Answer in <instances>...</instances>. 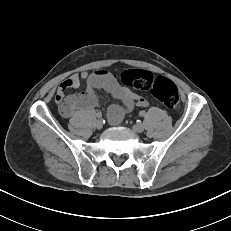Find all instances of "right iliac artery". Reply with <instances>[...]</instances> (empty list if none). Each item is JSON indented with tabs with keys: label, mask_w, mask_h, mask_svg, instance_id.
Segmentation results:
<instances>
[{
	"label": "right iliac artery",
	"mask_w": 231,
	"mask_h": 231,
	"mask_svg": "<svg viewBox=\"0 0 231 231\" xmlns=\"http://www.w3.org/2000/svg\"><path fill=\"white\" fill-rule=\"evenodd\" d=\"M96 117H97V118H101V117H102L101 112H97V113H96Z\"/></svg>",
	"instance_id": "obj_1"
}]
</instances>
